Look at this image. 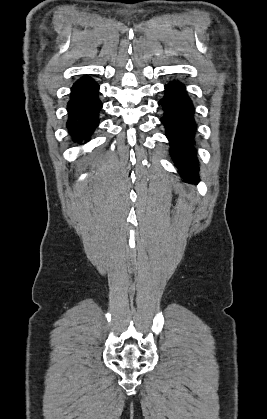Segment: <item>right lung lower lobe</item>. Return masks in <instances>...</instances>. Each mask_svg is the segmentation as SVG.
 <instances>
[{"label": "right lung lower lobe", "mask_w": 267, "mask_h": 419, "mask_svg": "<svg viewBox=\"0 0 267 419\" xmlns=\"http://www.w3.org/2000/svg\"><path fill=\"white\" fill-rule=\"evenodd\" d=\"M98 93L99 85L88 76L77 80L71 88L66 127L73 141L78 144L88 142L98 126L102 108Z\"/></svg>", "instance_id": "98d812e1"}]
</instances>
